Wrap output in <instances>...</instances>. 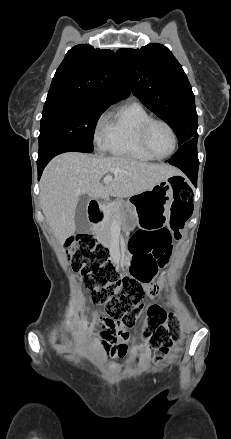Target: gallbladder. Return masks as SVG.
<instances>
[{
  "instance_id": "bac80fb5",
  "label": "gallbladder",
  "mask_w": 231,
  "mask_h": 439,
  "mask_svg": "<svg viewBox=\"0 0 231 439\" xmlns=\"http://www.w3.org/2000/svg\"><path fill=\"white\" fill-rule=\"evenodd\" d=\"M89 198L87 196H81L75 210V226L76 231L79 233L88 232L90 229L87 219V206Z\"/></svg>"
}]
</instances>
